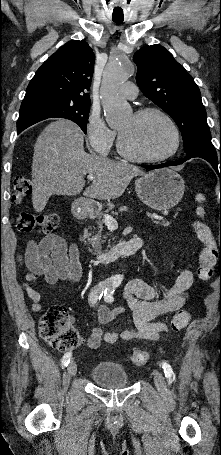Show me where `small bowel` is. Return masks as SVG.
I'll list each match as a JSON object with an SVG mask.
<instances>
[{
	"mask_svg": "<svg viewBox=\"0 0 221 455\" xmlns=\"http://www.w3.org/2000/svg\"><path fill=\"white\" fill-rule=\"evenodd\" d=\"M22 261L28 268L23 289L35 311L41 309V296L34 288L38 278L44 279L49 285H56L60 282L77 284L82 277L79 247L75 243L67 246L65 240L57 234L47 235L39 242L30 241ZM193 280V274L188 269L181 271L175 283L165 291H158L142 279L130 280L125 285L124 297L132 314L133 328L120 333L104 331L103 327L125 314L126 308L119 305L109 309L105 304H99V325L88 338L89 347L97 348L102 341L113 344L119 339L158 340L168 331L167 325L158 319L183 308Z\"/></svg>",
	"mask_w": 221,
	"mask_h": 455,
	"instance_id": "c3829d8e",
	"label": "small bowel"
}]
</instances>
